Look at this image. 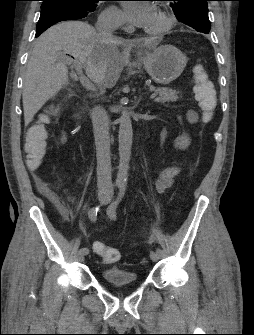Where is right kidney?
Returning a JSON list of instances; mask_svg holds the SVG:
<instances>
[{
  "label": "right kidney",
  "instance_id": "right-kidney-1",
  "mask_svg": "<svg viewBox=\"0 0 254 335\" xmlns=\"http://www.w3.org/2000/svg\"><path fill=\"white\" fill-rule=\"evenodd\" d=\"M67 141V137L65 136V134H63L62 138H61V142L65 143Z\"/></svg>",
  "mask_w": 254,
  "mask_h": 335
}]
</instances>
